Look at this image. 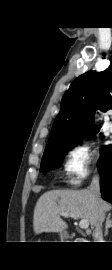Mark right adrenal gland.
Masks as SVG:
<instances>
[{"instance_id": "right-adrenal-gland-1", "label": "right adrenal gland", "mask_w": 112, "mask_h": 270, "mask_svg": "<svg viewBox=\"0 0 112 270\" xmlns=\"http://www.w3.org/2000/svg\"><path fill=\"white\" fill-rule=\"evenodd\" d=\"M111 213L107 215L104 236L108 235V229L112 227Z\"/></svg>"}]
</instances>
